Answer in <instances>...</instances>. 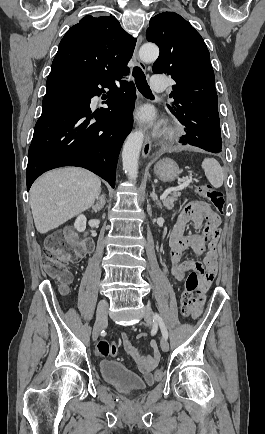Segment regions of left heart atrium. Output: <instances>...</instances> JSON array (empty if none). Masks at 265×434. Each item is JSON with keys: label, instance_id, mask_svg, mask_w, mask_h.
<instances>
[{"label": "left heart atrium", "instance_id": "obj_1", "mask_svg": "<svg viewBox=\"0 0 265 434\" xmlns=\"http://www.w3.org/2000/svg\"><path fill=\"white\" fill-rule=\"evenodd\" d=\"M136 117L141 121H150L153 118V111L149 107H142L136 111Z\"/></svg>", "mask_w": 265, "mask_h": 434}]
</instances>
